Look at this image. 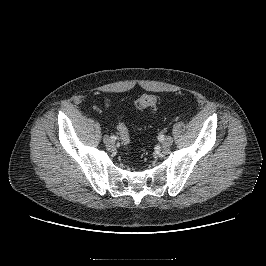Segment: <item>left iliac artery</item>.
Masks as SVG:
<instances>
[{
  "label": "left iliac artery",
  "instance_id": "left-iliac-artery-1",
  "mask_svg": "<svg viewBox=\"0 0 266 266\" xmlns=\"http://www.w3.org/2000/svg\"><path fill=\"white\" fill-rule=\"evenodd\" d=\"M164 134H165L164 132H163L162 134H161V133H160V134H158V136H157V138H158V139H157V142H158V143H161V142H163V140H164V139H163V138H164V136H163V135H164Z\"/></svg>",
  "mask_w": 266,
  "mask_h": 266
}]
</instances>
